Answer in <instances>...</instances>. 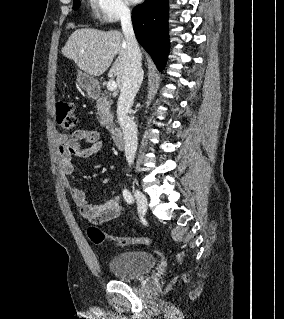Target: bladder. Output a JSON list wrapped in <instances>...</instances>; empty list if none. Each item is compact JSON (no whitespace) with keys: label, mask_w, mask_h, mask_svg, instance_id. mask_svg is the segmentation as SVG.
Returning a JSON list of instances; mask_svg holds the SVG:
<instances>
[{"label":"bladder","mask_w":284,"mask_h":319,"mask_svg":"<svg viewBox=\"0 0 284 319\" xmlns=\"http://www.w3.org/2000/svg\"><path fill=\"white\" fill-rule=\"evenodd\" d=\"M156 262V257L148 251L131 250L111 257L107 267L116 278L130 280L151 270Z\"/></svg>","instance_id":"1"}]
</instances>
